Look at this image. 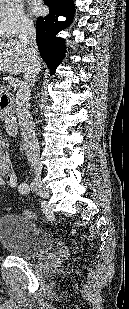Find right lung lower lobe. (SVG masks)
Listing matches in <instances>:
<instances>
[{
    "mask_svg": "<svg viewBox=\"0 0 129 309\" xmlns=\"http://www.w3.org/2000/svg\"><path fill=\"white\" fill-rule=\"evenodd\" d=\"M49 7V14L39 17L36 22V41L42 59L46 62L53 75L60 64L65 52V45L61 38L56 37L59 31L66 28L73 15L72 0H44ZM59 16L67 18L66 21H58Z\"/></svg>",
    "mask_w": 129,
    "mask_h": 309,
    "instance_id": "1",
    "label": "right lung lower lobe"
}]
</instances>
